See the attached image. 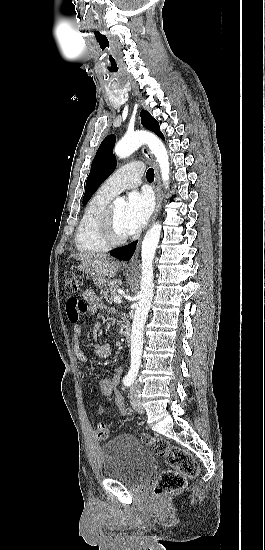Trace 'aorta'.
I'll use <instances>...</instances> for the list:
<instances>
[{"label":"aorta","mask_w":265,"mask_h":550,"mask_svg":"<svg viewBox=\"0 0 265 550\" xmlns=\"http://www.w3.org/2000/svg\"><path fill=\"white\" fill-rule=\"evenodd\" d=\"M143 144H147L156 157L163 183L167 188L170 175L169 156L167 149L159 138L147 132L127 134L115 145L114 152L119 158H126ZM115 203L124 204L125 201L122 198H117ZM161 228L159 222L154 223L147 231L141 246V283L131 330L130 373H137L141 365L144 325L154 292L153 260L159 243Z\"/></svg>","instance_id":"762f6f07"}]
</instances>
